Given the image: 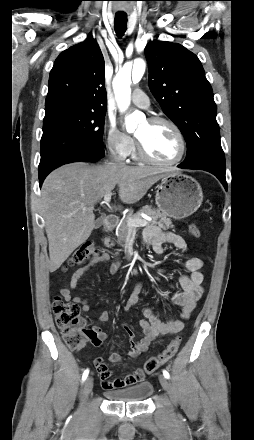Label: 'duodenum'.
I'll list each match as a JSON object with an SVG mask.
<instances>
[{
	"instance_id": "1",
	"label": "duodenum",
	"mask_w": 254,
	"mask_h": 440,
	"mask_svg": "<svg viewBox=\"0 0 254 440\" xmlns=\"http://www.w3.org/2000/svg\"><path fill=\"white\" fill-rule=\"evenodd\" d=\"M117 225H118V218L114 215H108L104 220L102 229L104 232H109L113 230Z\"/></svg>"
}]
</instances>
